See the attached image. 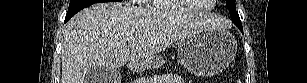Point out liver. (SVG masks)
Here are the masks:
<instances>
[{"label":"liver","mask_w":307,"mask_h":83,"mask_svg":"<svg viewBox=\"0 0 307 83\" xmlns=\"http://www.w3.org/2000/svg\"><path fill=\"white\" fill-rule=\"evenodd\" d=\"M210 15L142 10L128 3H98L73 16L62 41V83H85L86 73L148 59L182 38L212 28Z\"/></svg>","instance_id":"1"}]
</instances>
